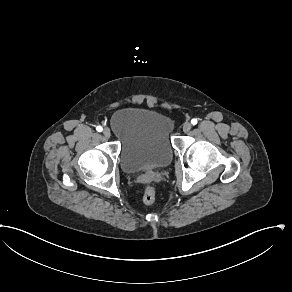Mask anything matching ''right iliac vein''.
Instances as JSON below:
<instances>
[{
	"label": "right iliac vein",
	"mask_w": 292,
	"mask_h": 292,
	"mask_svg": "<svg viewBox=\"0 0 292 292\" xmlns=\"http://www.w3.org/2000/svg\"><path fill=\"white\" fill-rule=\"evenodd\" d=\"M103 135L106 137V138H109L111 136V131L109 128H104L103 130Z\"/></svg>",
	"instance_id": "right-iliac-vein-1"
}]
</instances>
